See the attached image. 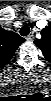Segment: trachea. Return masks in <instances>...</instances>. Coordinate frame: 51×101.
I'll return each mask as SVG.
<instances>
[{
    "label": "trachea",
    "mask_w": 51,
    "mask_h": 101,
    "mask_svg": "<svg viewBox=\"0 0 51 101\" xmlns=\"http://www.w3.org/2000/svg\"><path fill=\"white\" fill-rule=\"evenodd\" d=\"M30 33V29L28 26L24 25L21 29H20V35L21 36H28V34Z\"/></svg>",
    "instance_id": "trachea-1"
}]
</instances>
